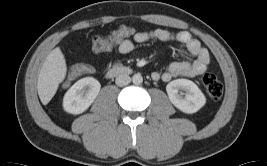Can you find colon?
<instances>
[{
    "mask_svg": "<svg viewBox=\"0 0 267 166\" xmlns=\"http://www.w3.org/2000/svg\"><path fill=\"white\" fill-rule=\"evenodd\" d=\"M134 30L132 26L125 24L114 25L111 28V35L108 38L94 37L91 41V47L96 52H104L110 50L115 44L123 42L124 38L132 37ZM90 72V67L86 65H79L77 71L73 70L71 77L75 75L85 74ZM202 83L205 87L209 97L217 101L223 95V85L217 76L211 72H206L202 76Z\"/></svg>",
    "mask_w": 267,
    "mask_h": 166,
    "instance_id": "colon-1",
    "label": "colon"
}]
</instances>
